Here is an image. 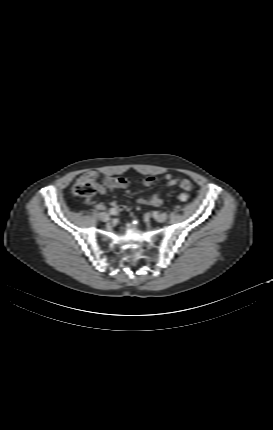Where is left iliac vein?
<instances>
[{
	"instance_id": "obj_1",
	"label": "left iliac vein",
	"mask_w": 273,
	"mask_h": 430,
	"mask_svg": "<svg viewBox=\"0 0 273 430\" xmlns=\"http://www.w3.org/2000/svg\"><path fill=\"white\" fill-rule=\"evenodd\" d=\"M154 219L158 222H164L167 219V214L166 213L155 214Z\"/></svg>"
}]
</instances>
